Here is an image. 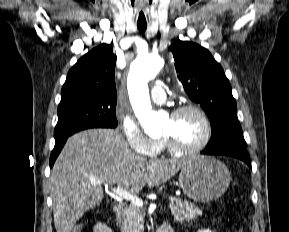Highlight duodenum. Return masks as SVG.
Segmentation results:
<instances>
[{"label":"duodenum","instance_id":"obj_1","mask_svg":"<svg viewBox=\"0 0 289 232\" xmlns=\"http://www.w3.org/2000/svg\"><path fill=\"white\" fill-rule=\"evenodd\" d=\"M123 210H124V207H123V205H122L121 203H117V204H115L114 207H113V211H114V213H115V215H116L117 217L121 216ZM157 232H173V231H172V229H171L170 227H168V226H162V227H160V228L158 229Z\"/></svg>","mask_w":289,"mask_h":232}]
</instances>
